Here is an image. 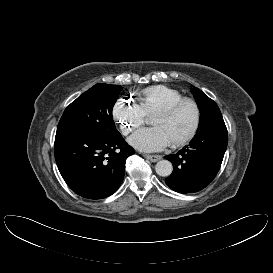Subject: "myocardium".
Wrapping results in <instances>:
<instances>
[{
    "instance_id": "myocardium-1",
    "label": "myocardium",
    "mask_w": 273,
    "mask_h": 273,
    "mask_svg": "<svg viewBox=\"0 0 273 273\" xmlns=\"http://www.w3.org/2000/svg\"><path fill=\"white\" fill-rule=\"evenodd\" d=\"M184 103H190L194 109H195V113H196V117H195V122H194V126L190 132V134L181 142L172 144V146L174 148H181L184 147L186 145H188L196 136L198 129L200 127V122H201V112H200V108L198 106V104L191 98L188 97H182L176 101H173L169 104H167L165 107H163L160 111H158L153 118L151 119L152 122H154L157 119H164L169 117L173 111L180 105L184 104Z\"/></svg>"
}]
</instances>
